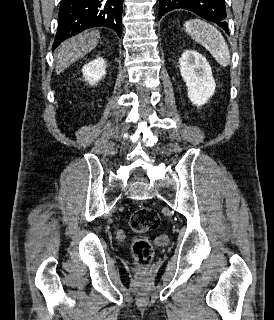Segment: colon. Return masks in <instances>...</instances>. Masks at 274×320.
<instances>
[{"instance_id":"5ec220e1","label":"colon","mask_w":274,"mask_h":320,"mask_svg":"<svg viewBox=\"0 0 274 320\" xmlns=\"http://www.w3.org/2000/svg\"><path fill=\"white\" fill-rule=\"evenodd\" d=\"M160 222L159 214L152 208L140 206L136 208L130 218L129 226L137 236L132 246V255L139 271H147L153 259V249L144 236L155 229Z\"/></svg>"}]
</instances>
